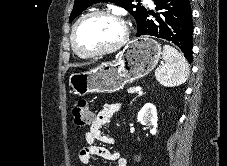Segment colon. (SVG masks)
<instances>
[{
    "instance_id": "colon-1",
    "label": "colon",
    "mask_w": 227,
    "mask_h": 166,
    "mask_svg": "<svg viewBox=\"0 0 227 166\" xmlns=\"http://www.w3.org/2000/svg\"><path fill=\"white\" fill-rule=\"evenodd\" d=\"M73 122L76 128L82 129L91 124L94 118L93 111L86 99H78L72 108Z\"/></svg>"
}]
</instances>
